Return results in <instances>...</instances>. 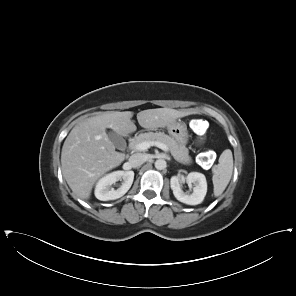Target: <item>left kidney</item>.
Returning <instances> with one entry per match:
<instances>
[{"label": "left kidney", "mask_w": 296, "mask_h": 296, "mask_svg": "<svg viewBox=\"0 0 296 296\" xmlns=\"http://www.w3.org/2000/svg\"><path fill=\"white\" fill-rule=\"evenodd\" d=\"M183 178L180 176H172L170 179L171 189L175 198L188 205H198L203 202L207 193V182L204 174L191 172L186 177V182L190 185L194 184L193 193L186 194L181 188Z\"/></svg>", "instance_id": "obj_1"}]
</instances>
